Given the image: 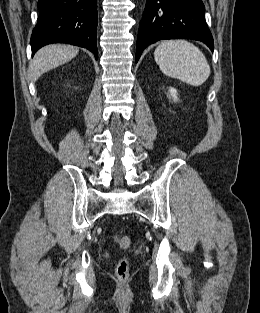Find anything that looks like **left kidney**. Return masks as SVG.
<instances>
[{
  "mask_svg": "<svg viewBox=\"0 0 260 313\" xmlns=\"http://www.w3.org/2000/svg\"><path fill=\"white\" fill-rule=\"evenodd\" d=\"M169 91H170V95L172 96L173 100L177 101L178 100V98H177V90L174 89V88H170Z\"/></svg>",
  "mask_w": 260,
  "mask_h": 313,
  "instance_id": "obj_1",
  "label": "left kidney"
}]
</instances>
